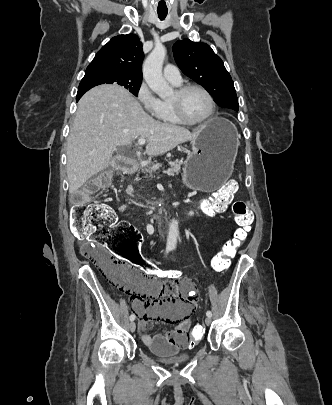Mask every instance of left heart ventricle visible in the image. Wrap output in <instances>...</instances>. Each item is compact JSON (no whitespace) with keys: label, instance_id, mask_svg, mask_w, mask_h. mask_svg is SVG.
<instances>
[{"label":"left heart ventricle","instance_id":"obj_1","mask_svg":"<svg viewBox=\"0 0 332 405\" xmlns=\"http://www.w3.org/2000/svg\"><path fill=\"white\" fill-rule=\"evenodd\" d=\"M173 93L171 100L175 98ZM185 116L190 120L204 118L210 111V102L207 96L200 90L191 89L187 91L181 100Z\"/></svg>","mask_w":332,"mask_h":405}]
</instances>
